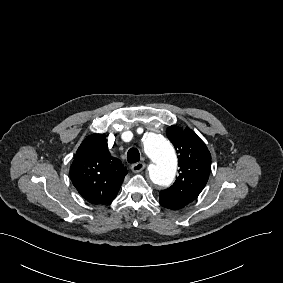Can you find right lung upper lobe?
<instances>
[{"label": "right lung upper lobe", "mask_w": 283, "mask_h": 283, "mask_svg": "<svg viewBox=\"0 0 283 283\" xmlns=\"http://www.w3.org/2000/svg\"><path fill=\"white\" fill-rule=\"evenodd\" d=\"M112 157L104 134H92L79 146L70 167V178L81 196L92 204H108L116 197L127 174Z\"/></svg>", "instance_id": "1"}]
</instances>
